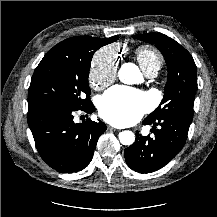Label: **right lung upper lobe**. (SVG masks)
Listing matches in <instances>:
<instances>
[{
  "instance_id": "1",
  "label": "right lung upper lobe",
  "mask_w": 217,
  "mask_h": 217,
  "mask_svg": "<svg viewBox=\"0 0 217 217\" xmlns=\"http://www.w3.org/2000/svg\"><path fill=\"white\" fill-rule=\"evenodd\" d=\"M88 38L94 39L102 47L106 44L116 41L118 39V36H113V37L105 38V39H99V38L89 37V36L71 37V38H68L60 42L57 45H77V44L82 43L84 40Z\"/></svg>"
}]
</instances>
